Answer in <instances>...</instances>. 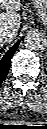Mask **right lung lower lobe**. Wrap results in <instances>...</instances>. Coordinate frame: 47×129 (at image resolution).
Returning a JSON list of instances; mask_svg holds the SVG:
<instances>
[{
	"label": "right lung lower lobe",
	"instance_id": "obj_1",
	"mask_svg": "<svg viewBox=\"0 0 47 129\" xmlns=\"http://www.w3.org/2000/svg\"><path fill=\"white\" fill-rule=\"evenodd\" d=\"M19 42L14 44L13 47L10 48V50L4 55V57L0 60V83L5 79L10 66V60L15 53L16 49L19 46Z\"/></svg>",
	"mask_w": 47,
	"mask_h": 129
}]
</instances>
